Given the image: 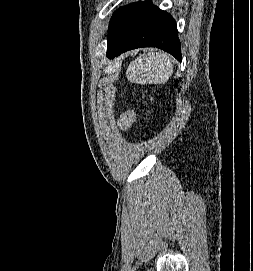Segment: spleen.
<instances>
[{
  "label": "spleen",
  "mask_w": 253,
  "mask_h": 271,
  "mask_svg": "<svg viewBox=\"0 0 253 271\" xmlns=\"http://www.w3.org/2000/svg\"><path fill=\"white\" fill-rule=\"evenodd\" d=\"M173 74L171 57L164 52L148 51L130 63L126 77L139 84H162Z\"/></svg>",
  "instance_id": "spleen-1"
}]
</instances>
